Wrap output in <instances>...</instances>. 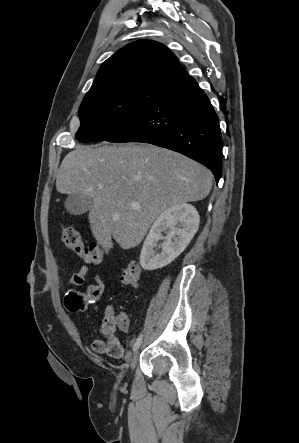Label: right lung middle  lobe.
I'll list each match as a JSON object with an SVG mask.
<instances>
[{
    "instance_id": "obj_1",
    "label": "right lung middle lobe",
    "mask_w": 299,
    "mask_h": 443,
    "mask_svg": "<svg viewBox=\"0 0 299 443\" xmlns=\"http://www.w3.org/2000/svg\"><path fill=\"white\" fill-rule=\"evenodd\" d=\"M164 92L149 87L118 88L84 98L75 138L80 142L111 138L137 120Z\"/></svg>"
}]
</instances>
